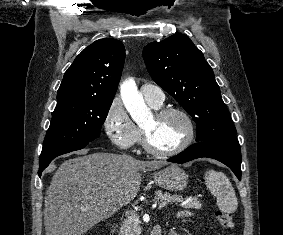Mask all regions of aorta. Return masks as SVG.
Returning <instances> with one entry per match:
<instances>
[{"label": "aorta", "mask_w": 283, "mask_h": 235, "mask_svg": "<svg viewBox=\"0 0 283 235\" xmlns=\"http://www.w3.org/2000/svg\"><path fill=\"white\" fill-rule=\"evenodd\" d=\"M120 94L125 108L135 122H141L149 116L150 110L134 80L129 79L123 82L120 86Z\"/></svg>", "instance_id": "obj_1"}]
</instances>
